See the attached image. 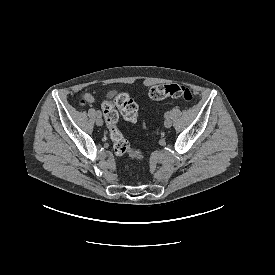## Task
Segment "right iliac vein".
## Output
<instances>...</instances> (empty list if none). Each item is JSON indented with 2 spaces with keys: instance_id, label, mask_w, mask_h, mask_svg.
I'll return each mask as SVG.
<instances>
[{
  "instance_id": "63e3f726",
  "label": "right iliac vein",
  "mask_w": 275,
  "mask_h": 275,
  "mask_svg": "<svg viewBox=\"0 0 275 275\" xmlns=\"http://www.w3.org/2000/svg\"><path fill=\"white\" fill-rule=\"evenodd\" d=\"M96 124L98 126H102L103 125V120H102L101 116H97V118H96Z\"/></svg>"
}]
</instances>
